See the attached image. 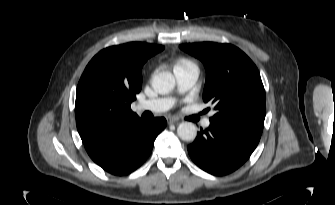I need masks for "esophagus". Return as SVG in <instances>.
<instances>
[{
	"instance_id": "1",
	"label": "esophagus",
	"mask_w": 335,
	"mask_h": 205,
	"mask_svg": "<svg viewBox=\"0 0 335 205\" xmlns=\"http://www.w3.org/2000/svg\"><path fill=\"white\" fill-rule=\"evenodd\" d=\"M178 120L174 117H167V123L168 124H173V123H177Z\"/></svg>"
}]
</instances>
